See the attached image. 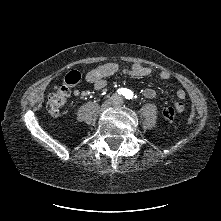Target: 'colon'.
<instances>
[{"mask_svg":"<svg viewBox=\"0 0 221 221\" xmlns=\"http://www.w3.org/2000/svg\"><path fill=\"white\" fill-rule=\"evenodd\" d=\"M80 80V74L78 71L69 72L64 83L57 86L48 96L47 110L52 116H57L61 109L63 108L66 100L69 96V86L76 84ZM183 109H178L176 107H166L163 109V116L172 121L175 117V113L182 112Z\"/></svg>","mask_w":221,"mask_h":221,"instance_id":"1","label":"colon"}]
</instances>
